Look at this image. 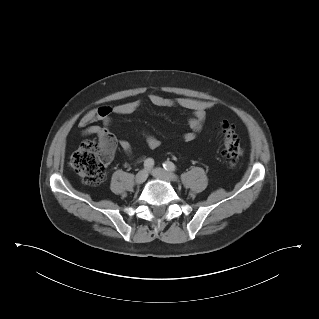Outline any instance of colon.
<instances>
[{
	"label": "colon",
	"mask_w": 319,
	"mask_h": 319,
	"mask_svg": "<svg viewBox=\"0 0 319 319\" xmlns=\"http://www.w3.org/2000/svg\"><path fill=\"white\" fill-rule=\"evenodd\" d=\"M223 135L222 157L230 168H235L243 154V147L234 128L228 122L221 124ZM115 150V141L107 135L98 142L85 141L70 158V166L88 185H99L105 168Z\"/></svg>",
	"instance_id": "colon-1"
}]
</instances>
